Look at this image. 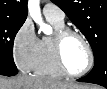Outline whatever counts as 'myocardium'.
Segmentation results:
<instances>
[{"mask_svg":"<svg viewBox=\"0 0 107 89\" xmlns=\"http://www.w3.org/2000/svg\"><path fill=\"white\" fill-rule=\"evenodd\" d=\"M69 36L78 37L84 43L89 56L87 66L85 67L84 70L78 73L70 72L63 58V44ZM52 42H53V51H54V57H55L56 63L65 76L71 77V78L81 77L87 74L92 69L94 65V52L90 42L88 41V39L85 37L84 34L79 32L78 30L64 27L60 30H57L54 33Z\"/></svg>","mask_w":107,"mask_h":89,"instance_id":"obj_1","label":"myocardium"}]
</instances>
